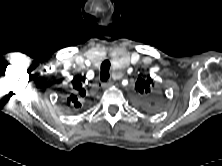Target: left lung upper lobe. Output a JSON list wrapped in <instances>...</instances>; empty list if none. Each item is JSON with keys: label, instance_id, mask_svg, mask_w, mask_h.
<instances>
[{"label": "left lung upper lobe", "instance_id": "1", "mask_svg": "<svg viewBox=\"0 0 222 166\" xmlns=\"http://www.w3.org/2000/svg\"><path fill=\"white\" fill-rule=\"evenodd\" d=\"M151 85L153 86L151 78L146 79L139 77L135 86L140 94H146L150 91Z\"/></svg>", "mask_w": 222, "mask_h": 166}]
</instances>
